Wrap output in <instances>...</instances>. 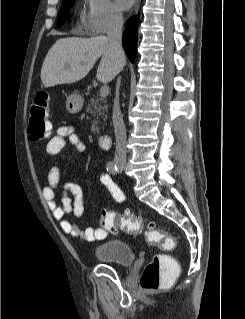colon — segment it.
<instances>
[{"label":"colon","mask_w":245,"mask_h":319,"mask_svg":"<svg viewBox=\"0 0 245 319\" xmlns=\"http://www.w3.org/2000/svg\"><path fill=\"white\" fill-rule=\"evenodd\" d=\"M49 98L44 92L36 95L30 107L29 132L33 141L45 139L49 132L48 123ZM102 226L111 233L118 231L135 234L146 229L149 242L160 246L165 251L176 247L174 237L167 235L158 228L154 222H147L130 214H117L114 211H103L101 215ZM179 266L173 263L165 254H157L145 266L141 277V288L145 291H155L168 284L177 275Z\"/></svg>","instance_id":"1"}]
</instances>
